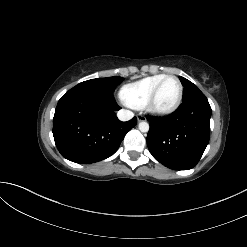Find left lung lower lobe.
I'll use <instances>...</instances> for the list:
<instances>
[{
  "label": "left lung lower lobe",
  "mask_w": 247,
  "mask_h": 247,
  "mask_svg": "<svg viewBox=\"0 0 247 247\" xmlns=\"http://www.w3.org/2000/svg\"><path fill=\"white\" fill-rule=\"evenodd\" d=\"M210 117L211 107L204 94L183 101L166 117H147L150 153L174 170L195 167L209 142Z\"/></svg>",
  "instance_id": "left-lung-lower-lobe-1"
}]
</instances>
